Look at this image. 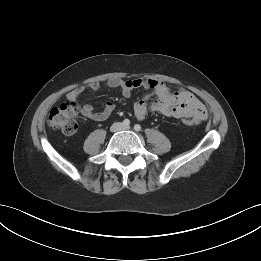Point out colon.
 Instances as JSON below:
<instances>
[{
  "instance_id": "obj_1",
  "label": "colon",
  "mask_w": 261,
  "mask_h": 261,
  "mask_svg": "<svg viewBox=\"0 0 261 261\" xmlns=\"http://www.w3.org/2000/svg\"><path fill=\"white\" fill-rule=\"evenodd\" d=\"M77 108L73 103L66 102L54 107L48 116V124L51 128L60 130L66 135H72L77 131ZM186 125H192L191 119H183Z\"/></svg>"
}]
</instances>
